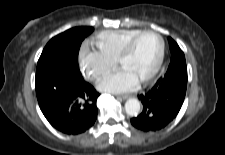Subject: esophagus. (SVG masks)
Instances as JSON below:
<instances>
[{
    "mask_svg": "<svg viewBox=\"0 0 225 155\" xmlns=\"http://www.w3.org/2000/svg\"><path fill=\"white\" fill-rule=\"evenodd\" d=\"M130 96L129 95H119L117 96V98H120V99H128Z\"/></svg>",
    "mask_w": 225,
    "mask_h": 155,
    "instance_id": "34e87169",
    "label": "esophagus"
}]
</instances>
